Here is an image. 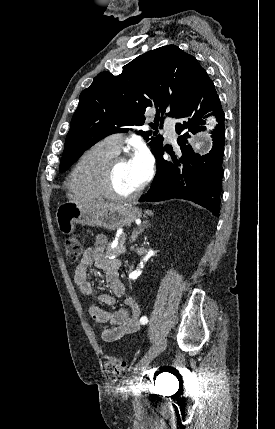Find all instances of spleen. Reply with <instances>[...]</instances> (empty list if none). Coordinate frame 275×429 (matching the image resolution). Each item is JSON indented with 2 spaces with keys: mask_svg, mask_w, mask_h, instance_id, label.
I'll use <instances>...</instances> for the list:
<instances>
[{
  "mask_svg": "<svg viewBox=\"0 0 275 429\" xmlns=\"http://www.w3.org/2000/svg\"><path fill=\"white\" fill-rule=\"evenodd\" d=\"M146 213H147V214H152V212H151V211H146Z\"/></svg>",
  "mask_w": 275,
  "mask_h": 429,
  "instance_id": "3e777b00",
  "label": "spleen"
}]
</instances>
